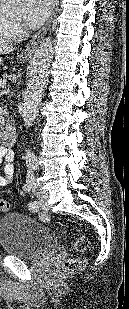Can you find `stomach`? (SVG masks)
Segmentation results:
<instances>
[{"label":"stomach","instance_id":"0dacf381","mask_svg":"<svg viewBox=\"0 0 129 309\" xmlns=\"http://www.w3.org/2000/svg\"><path fill=\"white\" fill-rule=\"evenodd\" d=\"M19 59L21 61H27L29 59V57H27V56H20ZM2 64H3V58L0 57V65H2Z\"/></svg>","mask_w":129,"mask_h":309}]
</instances>
